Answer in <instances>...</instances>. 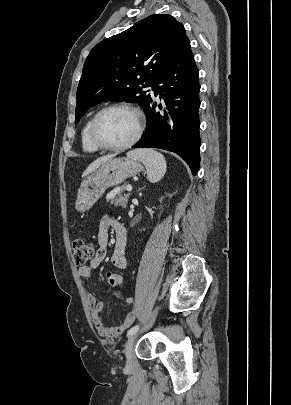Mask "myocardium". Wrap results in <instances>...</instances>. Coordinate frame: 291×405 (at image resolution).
I'll use <instances>...</instances> for the list:
<instances>
[{
	"instance_id": "obj_1",
	"label": "myocardium",
	"mask_w": 291,
	"mask_h": 405,
	"mask_svg": "<svg viewBox=\"0 0 291 405\" xmlns=\"http://www.w3.org/2000/svg\"><path fill=\"white\" fill-rule=\"evenodd\" d=\"M115 109H122V110H127L132 112L137 120V130L134 134V136L127 142L119 145H109L104 142H102L98 135H97V125L100 117L111 110ZM144 131V116L140 109L137 107L127 104V103H114L107 105L100 109L93 117L89 126V137L91 142L93 143L94 146H96L98 149L101 150H107V151H121V150H126L130 147H132L134 144L138 142V140L141 138L142 134Z\"/></svg>"
}]
</instances>
